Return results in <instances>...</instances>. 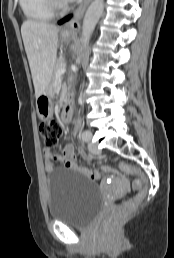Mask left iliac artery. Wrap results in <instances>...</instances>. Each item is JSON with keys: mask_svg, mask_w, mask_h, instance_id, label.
<instances>
[{"mask_svg": "<svg viewBox=\"0 0 174 258\" xmlns=\"http://www.w3.org/2000/svg\"><path fill=\"white\" fill-rule=\"evenodd\" d=\"M82 140L87 142V141H90L91 140V134L89 131H84L82 133Z\"/></svg>", "mask_w": 174, "mask_h": 258, "instance_id": "left-iliac-artery-1", "label": "left iliac artery"}]
</instances>
